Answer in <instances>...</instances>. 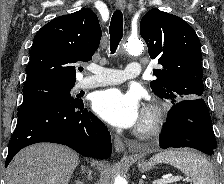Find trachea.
Wrapping results in <instances>:
<instances>
[{
	"mask_svg": "<svg viewBox=\"0 0 224 184\" xmlns=\"http://www.w3.org/2000/svg\"><path fill=\"white\" fill-rule=\"evenodd\" d=\"M110 50L115 53L123 37V15L120 10H116L111 18L110 27Z\"/></svg>",
	"mask_w": 224,
	"mask_h": 184,
	"instance_id": "trachea-1",
	"label": "trachea"
}]
</instances>
